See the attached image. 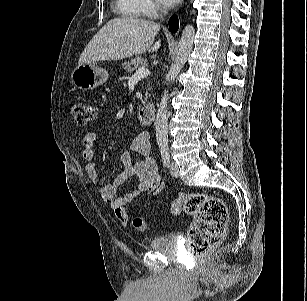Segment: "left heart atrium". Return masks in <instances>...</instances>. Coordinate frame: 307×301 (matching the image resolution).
Segmentation results:
<instances>
[{
  "mask_svg": "<svg viewBox=\"0 0 307 301\" xmlns=\"http://www.w3.org/2000/svg\"><path fill=\"white\" fill-rule=\"evenodd\" d=\"M159 2L166 7H173L177 5L180 2V0H159Z\"/></svg>",
  "mask_w": 307,
  "mask_h": 301,
  "instance_id": "obj_1",
  "label": "left heart atrium"
}]
</instances>
